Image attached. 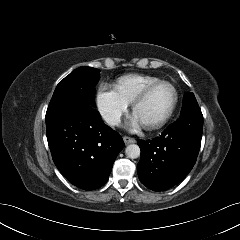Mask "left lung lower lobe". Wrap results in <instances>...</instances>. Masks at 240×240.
I'll list each match as a JSON object with an SVG mask.
<instances>
[{
  "label": "left lung lower lobe",
  "instance_id": "left-lung-lower-lobe-1",
  "mask_svg": "<svg viewBox=\"0 0 240 240\" xmlns=\"http://www.w3.org/2000/svg\"><path fill=\"white\" fill-rule=\"evenodd\" d=\"M203 115L186 110L160 137L138 140L141 158L137 172L142 184L164 191L181 182L193 168L201 146Z\"/></svg>",
  "mask_w": 240,
  "mask_h": 240
}]
</instances>
